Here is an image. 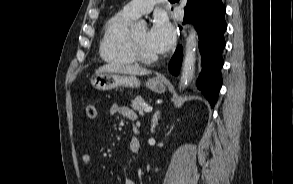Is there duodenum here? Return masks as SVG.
<instances>
[{"label": "duodenum", "instance_id": "obj_1", "mask_svg": "<svg viewBox=\"0 0 293 184\" xmlns=\"http://www.w3.org/2000/svg\"><path fill=\"white\" fill-rule=\"evenodd\" d=\"M139 146H140L139 141L136 139V150L139 149Z\"/></svg>", "mask_w": 293, "mask_h": 184}]
</instances>
